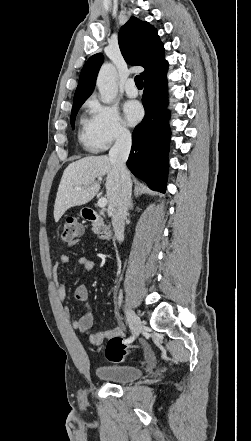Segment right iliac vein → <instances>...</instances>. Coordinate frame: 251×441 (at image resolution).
Returning <instances> with one entry per match:
<instances>
[{
  "label": "right iliac vein",
  "mask_w": 251,
  "mask_h": 441,
  "mask_svg": "<svg viewBox=\"0 0 251 441\" xmlns=\"http://www.w3.org/2000/svg\"><path fill=\"white\" fill-rule=\"evenodd\" d=\"M125 314L127 317V321L129 323V327L131 329L132 335L136 338L139 335V332L142 328V324L136 313L129 307L125 306Z\"/></svg>",
  "instance_id": "obj_1"
}]
</instances>
